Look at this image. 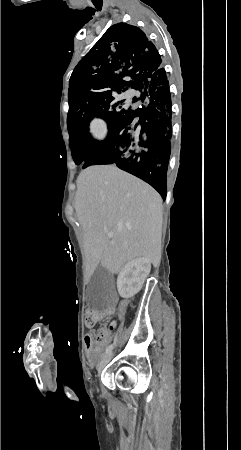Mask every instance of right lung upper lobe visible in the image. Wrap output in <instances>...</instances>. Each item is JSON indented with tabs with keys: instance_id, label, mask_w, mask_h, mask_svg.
<instances>
[{
	"instance_id": "1",
	"label": "right lung upper lobe",
	"mask_w": 241,
	"mask_h": 450,
	"mask_svg": "<svg viewBox=\"0 0 241 450\" xmlns=\"http://www.w3.org/2000/svg\"><path fill=\"white\" fill-rule=\"evenodd\" d=\"M162 67L155 45L138 27L111 26L75 67L72 76L99 86L142 92V77Z\"/></svg>"
}]
</instances>
